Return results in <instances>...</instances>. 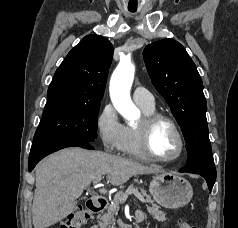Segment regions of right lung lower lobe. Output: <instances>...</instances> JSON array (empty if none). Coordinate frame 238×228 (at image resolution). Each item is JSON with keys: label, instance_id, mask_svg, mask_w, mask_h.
<instances>
[{"label": "right lung lower lobe", "instance_id": "obj_1", "mask_svg": "<svg viewBox=\"0 0 238 228\" xmlns=\"http://www.w3.org/2000/svg\"><path fill=\"white\" fill-rule=\"evenodd\" d=\"M66 147H82L85 149H94L90 142L81 139H57V140H39L33 141L28 169L32 171L35 165L45 156Z\"/></svg>", "mask_w": 238, "mask_h": 228}]
</instances>
